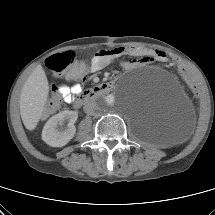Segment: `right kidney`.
<instances>
[{
	"label": "right kidney",
	"mask_w": 215,
	"mask_h": 215,
	"mask_svg": "<svg viewBox=\"0 0 215 215\" xmlns=\"http://www.w3.org/2000/svg\"><path fill=\"white\" fill-rule=\"evenodd\" d=\"M78 118L75 111H62L52 116L42 130V140L52 147L65 146L75 135L76 127L74 123ZM68 121L67 127L63 130L58 129V125Z\"/></svg>",
	"instance_id": "1"
}]
</instances>
